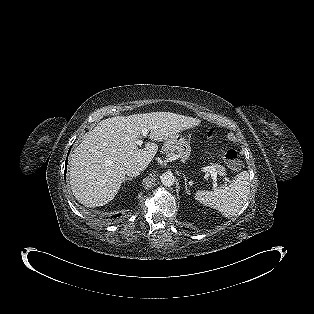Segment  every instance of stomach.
Masks as SVG:
<instances>
[{
  "label": "stomach",
  "mask_w": 314,
  "mask_h": 314,
  "mask_svg": "<svg viewBox=\"0 0 314 314\" xmlns=\"http://www.w3.org/2000/svg\"><path fill=\"white\" fill-rule=\"evenodd\" d=\"M166 142L169 144L165 149L166 152L177 154L182 161H186L191 153L190 142L181 133H177L168 138Z\"/></svg>",
  "instance_id": "1"
}]
</instances>
